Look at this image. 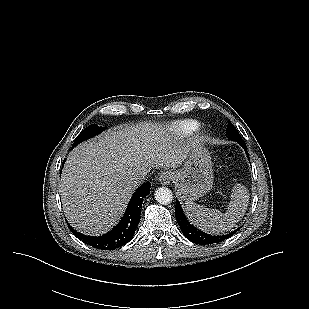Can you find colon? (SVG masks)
<instances>
[{
  "label": "colon",
  "mask_w": 309,
  "mask_h": 309,
  "mask_svg": "<svg viewBox=\"0 0 309 309\" xmlns=\"http://www.w3.org/2000/svg\"><path fill=\"white\" fill-rule=\"evenodd\" d=\"M228 158H229L230 160H233V154H232V153H229V154H228Z\"/></svg>",
  "instance_id": "obj_1"
}]
</instances>
